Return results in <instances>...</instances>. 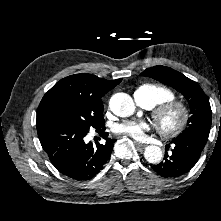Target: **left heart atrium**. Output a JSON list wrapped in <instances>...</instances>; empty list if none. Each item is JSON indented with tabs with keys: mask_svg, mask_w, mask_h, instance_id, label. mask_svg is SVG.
Masks as SVG:
<instances>
[{
	"mask_svg": "<svg viewBox=\"0 0 221 221\" xmlns=\"http://www.w3.org/2000/svg\"><path fill=\"white\" fill-rule=\"evenodd\" d=\"M148 129L149 125L142 121H125L115 127L116 133L134 139H142Z\"/></svg>",
	"mask_w": 221,
	"mask_h": 221,
	"instance_id": "39dd6f15",
	"label": "left heart atrium"
}]
</instances>
